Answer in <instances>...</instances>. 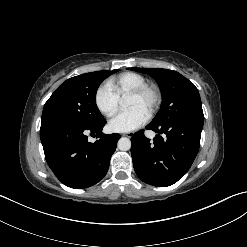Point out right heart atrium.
<instances>
[{"instance_id": "d8ad5b80", "label": "right heart atrium", "mask_w": 247, "mask_h": 247, "mask_svg": "<svg viewBox=\"0 0 247 247\" xmlns=\"http://www.w3.org/2000/svg\"><path fill=\"white\" fill-rule=\"evenodd\" d=\"M94 100L100 113L107 117L113 116L119 106V97L108 84L98 87Z\"/></svg>"}]
</instances>
